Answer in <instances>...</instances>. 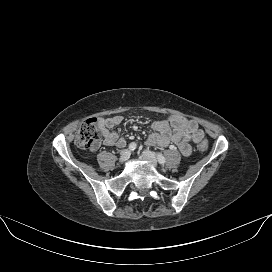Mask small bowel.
Here are the masks:
<instances>
[{"instance_id":"small-bowel-1","label":"small bowel","mask_w":272,"mask_h":272,"mask_svg":"<svg viewBox=\"0 0 272 272\" xmlns=\"http://www.w3.org/2000/svg\"><path fill=\"white\" fill-rule=\"evenodd\" d=\"M122 122L123 117L120 115L99 118L98 125L102 131L103 140L95 142L90 147L91 150L98 149L102 143L106 146L124 147L126 139L113 131V128ZM152 129L147 140L149 146L165 147L174 143L184 156H190L192 153L190 142L199 143L204 138L203 131L195 121L179 115H171L166 119L153 122Z\"/></svg>"}]
</instances>
